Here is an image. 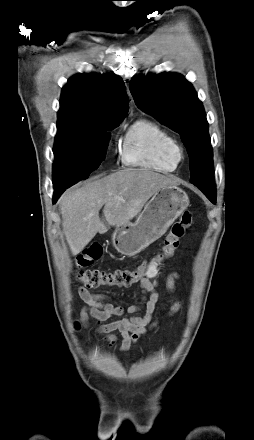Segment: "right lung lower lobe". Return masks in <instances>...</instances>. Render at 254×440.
<instances>
[{
	"label": "right lung lower lobe",
	"instance_id": "right-lung-lower-lobe-1",
	"mask_svg": "<svg viewBox=\"0 0 254 440\" xmlns=\"http://www.w3.org/2000/svg\"><path fill=\"white\" fill-rule=\"evenodd\" d=\"M69 185L65 184V185H60V186H54V197H53V203H55L57 201V199L59 198V196L63 193V191L68 188Z\"/></svg>",
	"mask_w": 254,
	"mask_h": 440
}]
</instances>
